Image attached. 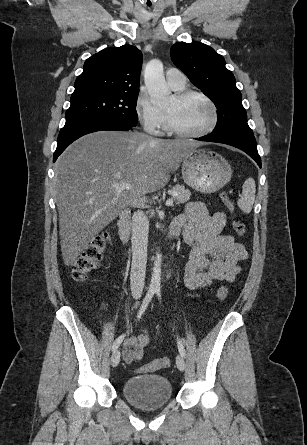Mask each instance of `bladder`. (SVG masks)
<instances>
[{
	"label": "bladder",
	"mask_w": 307,
	"mask_h": 445,
	"mask_svg": "<svg viewBox=\"0 0 307 445\" xmlns=\"http://www.w3.org/2000/svg\"><path fill=\"white\" fill-rule=\"evenodd\" d=\"M124 398L141 410L165 407L172 399V385L160 374H143L125 380L122 386Z\"/></svg>",
	"instance_id": "1"
}]
</instances>
